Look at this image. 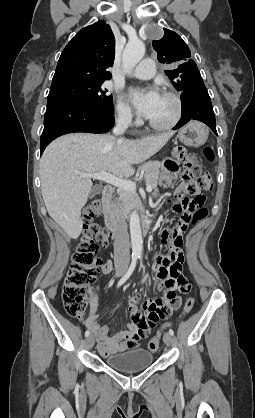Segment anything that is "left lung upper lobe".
Returning <instances> with one entry per match:
<instances>
[{
  "label": "left lung upper lobe",
  "instance_id": "obj_1",
  "mask_svg": "<svg viewBox=\"0 0 255 418\" xmlns=\"http://www.w3.org/2000/svg\"><path fill=\"white\" fill-rule=\"evenodd\" d=\"M152 45L158 61L171 65L165 74L178 91L182 93L203 83L196 63L190 58L188 46L178 34L164 28L163 38L153 40Z\"/></svg>",
  "mask_w": 255,
  "mask_h": 418
}]
</instances>
